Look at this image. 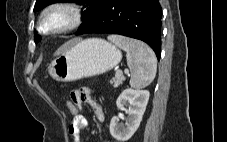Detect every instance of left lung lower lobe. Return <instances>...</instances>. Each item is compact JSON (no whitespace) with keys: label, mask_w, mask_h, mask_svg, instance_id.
<instances>
[{"label":"left lung lower lobe","mask_w":227,"mask_h":142,"mask_svg":"<svg viewBox=\"0 0 227 142\" xmlns=\"http://www.w3.org/2000/svg\"><path fill=\"white\" fill-rule=\"evenodd\" d=\"M161 16L158 0H106L76 35L119 34L146 42L160 59Z\"/></svg>","instance_id":"obj_1"}]
</instances>
